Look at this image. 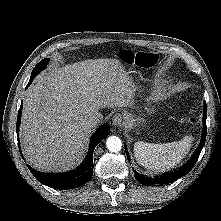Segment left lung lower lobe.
<instances>
[{
    "label": "left lung lower lobe",
    "mask_w": 221,
    "mask_h": 221,
    "mask_svg": "<svg viewBox=\"0 0 221 221\" xmlns=\"http://www.w3.org/2000/svg\"><path fill=\"white\" fill-rule=\"evenodd\" d=\"M206 117H207V105L206 103H204V114H203V132H202V138H201V142L199 147L197 148L196 152L193 154V156L191 157V159L182 167H180L178 170H174L171 171L170 173L161 175V176H156L154 178L151 177H146L142 174H139L137 172L135 173V178L137 179V181H139L141 184L143 185H163V184H168L184 175H186L195 165V163L197 162V159L200 155V152L204 146L205 140H206ZM125 151L129 159V154L126 150L125 147Z\"/></svg>",
    "instance_id": "1"
}]
</instances>
